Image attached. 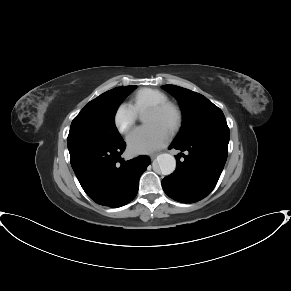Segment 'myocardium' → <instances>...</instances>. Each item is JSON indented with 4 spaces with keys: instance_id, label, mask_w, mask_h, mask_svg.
Wrapping results in <instances>:
<instances>
[{
    "instance_id": "obj_1",
    "label": "myocardium",
    "mask_w": 291,
    "mask_h": 291,
    "mask_svg": "<svg viewBox=\"0 0 291 291\" xmlns=\"http://www.w3.org/2000/svg\"><path fill=\"white\" fill-rule=\"evenodd\" d=\"M145 111H153L161 114L170 115V123L168 126V131L173 133L179 129L182 123V112L180 108L172 102H162L158 104L151 105L146 108Z\"/></svg>"
}]
</instances>
